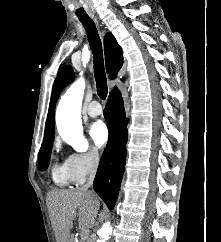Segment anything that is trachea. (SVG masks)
I'll use <instances>...</instances> for the list:
<instances>
[{
    "label": "trachea",
    "mask_w": 221,
    "mask_h": 242,
    "mask_svg": "<svg viewBox=\"0 0 221 242\" xmlns=\"http://www.w3.org/2000/svg\"><path fill=\"white\" fill-rule=\"evenodd\" d=\"M79 20L86 30L89 45L94 58L93 63L97 83V94L101 99L104 100L107 96L108 87L104 68L102 43L93 20L90 18H79Z\"/></svg>",
    "instance_id": "trachea-1"
}]
</instances>
